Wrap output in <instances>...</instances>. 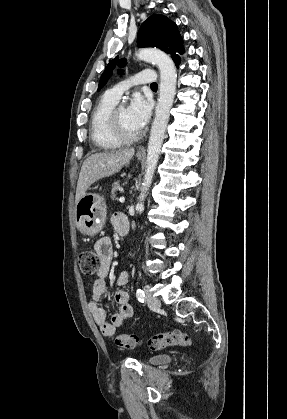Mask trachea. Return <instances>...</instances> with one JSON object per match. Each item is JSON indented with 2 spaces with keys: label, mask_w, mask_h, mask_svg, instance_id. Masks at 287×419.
Wrapping results in <instances>:
<instances>
[{
  "label": "trachea",
  "mask_w": 287,
  "mask_h": 419,
  "mask_svg": "<svg viewBox=\"0 0 287 419\" xmlns=\"http://www.w3.org/2000/svg\"><path fill=\"white\" fill-rule=\"evenodd\" d=\"M151 87H157V83H152Z\"/></svg>",
  "instance_id": "1"
}]
</instances>
